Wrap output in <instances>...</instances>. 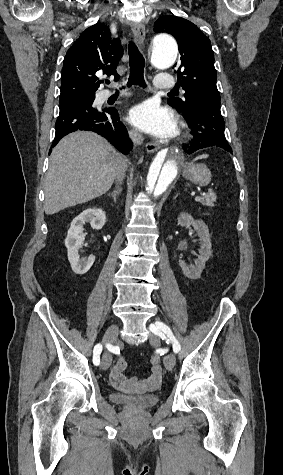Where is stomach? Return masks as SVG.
<instances>
[{
  "label": "stomach",
  "instance_id": "1",
  "mask_svg": "<svg viewBox=\"0 0 283 475\" xmlns=\"http://www.w3.org/2000/svg\"><path fill=\"white\" fill-rule=\"evenodd\" d=\"M183 176L193 182V184H198V186H207L211 182V172L205 164H188L186 166Z\"/></svg>",
  "mask_w": 283,
  "mask_h": 475
}]
</instances>
